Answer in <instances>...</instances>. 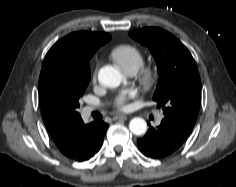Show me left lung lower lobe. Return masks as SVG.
<instances>
[{
    "label": "left lung lower lobe",
    "instance_id": "1",
    "mask_svg": "<svg viewBox=\"0 0 236 187\" xmlns=\"http://www.w3.org/2000/svg\"><path fill=\"white\" fill-rule=\"evenodd\" d=\"M191 130L164 118L157 128L149 127L145 136L138 140V149L147 157L160 159L172 154L187 139Z\"/></svg>",
    "mask_w": 236,
    "mask_h": 187
}]
</instances>
